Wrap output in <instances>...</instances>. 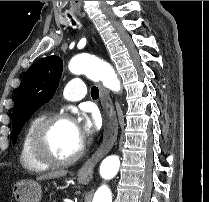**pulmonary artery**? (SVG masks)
<instances>
[{"instance_id": "obj_1", "label": "pulmonary artery", "mask_w": 209, "mask_h": 202, "mask_svg": "<svg viewBox=\"0 0 209 202\" xmlns=\"http://www.w3.org/2000/svg\"><path fill=\"white\" fill-rule=\"evenodd\" d=\"M84 84L82 78L71 80L64 86L66 96L71 100H80L84 97Z\"/></svg>"}]
</instances>
